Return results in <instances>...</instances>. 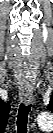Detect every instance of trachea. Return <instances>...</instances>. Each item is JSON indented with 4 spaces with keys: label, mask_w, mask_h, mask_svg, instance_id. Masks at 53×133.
I'll use <instances>...</instances> for the list:
<instances>
[{
    "label": "trachea",
    "mask_w": 53,
    "mask_h": 133,
    "mask_svg": "<svg viewBox=\"0 0 53 133\" xmlns=\"http://www.w3.org/2000/svg\"><path fill=\"white\" fill-rule=\"evenodd\" d=\"M31 105L21 104L17 115V131L18 133H27L28 114Z\"/></svg>",
    "instance_id": "obj_1"
}]
</instances>
